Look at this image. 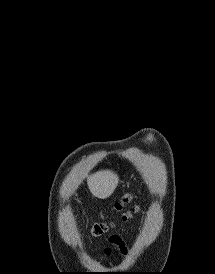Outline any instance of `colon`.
Listing matches in <instances>:
<instances>
[{
	"instance_id": "colon-1",
	"label": "colon",
	"mask_w": 215,
	"mask_h": 274,
	"mask_svg": "<svg viewBox=\"0 0 215 274\" xmlns=\"http://www.w3.org/2000/svg\"><path fill=\"white\" fill-rule=\"evenodd\" d=\"M131 200V196L126 195L121 201L117 202L115 204V209L119 212H123L126 205L130 202ZM135 212V209L133 208L132 210L123 212L122 214V219L126 220L128 217H130V215ZM109 225L103 222H97L93 225L92 227V233L95 236H98L100 234H102L103 232H105L108 229Z\"/></svg>"
}]
</instances>
